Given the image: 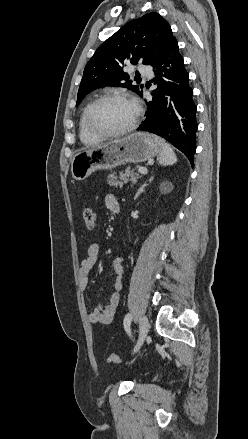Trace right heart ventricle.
I'll list each match as a JSON object with an SVG mask.
<instances>
[{"label":"right heart ventricle","instance_id":"obj_1","mask_svg":"<svg viewBox=\"0 0 248 439\" xmlns=\"http://www.w3.org/2000/svg\"><path fill=\"white\" fill-rule=\"evenodd\" d=\"M89 105L90 104H87L83 108L82 113L80 115V119H79V137H80L81 142L84 145L92 146V145H95V144L103 141L104 137H100V136L94 135L93 133H91L88 130V128L86 126L85 116H86V111H87V108H88Z\"/></svg>","mask_w":248,"mask_h":439}]
</instances>
